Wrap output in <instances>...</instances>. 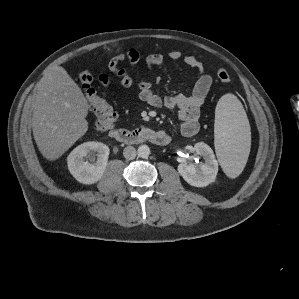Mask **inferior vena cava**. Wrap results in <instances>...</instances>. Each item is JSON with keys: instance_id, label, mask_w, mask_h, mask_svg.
<instances>
[{"instance_id": "obj_1", "label": "inferior vena cava", "mask_w": 299, "mask_h": 299, "mask_svg": "<svg viewBox=\"0 0 299 299\" xmlns=\"http://www.w3.org/2000/svg\"><path fill=\"white\" fill-rule=\"evenodd\" d=\"M123 155L126 159L133 160L136 157L137 152L133 146H127L123 150Z\"/></svg>"}]
</instances>
